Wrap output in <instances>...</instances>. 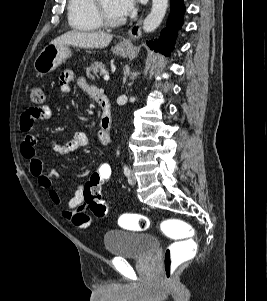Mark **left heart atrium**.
<instances>
[{
	"label": "left heart atrium",
	"instance_id": "39dd6f15",
	"mask_svg": "<svg viewBox=\"0 0 267 301\" xmlns=\"http://www.w3.org/2000/svg\"><path fill=\"white\" fill-rule=\"evenodd\" d=\"M113 9L120 17H127L134 13L136 0H112Z\"/></svg>",
	"mask_w": 267,
	"mask_h": 301
}]
</instances>
